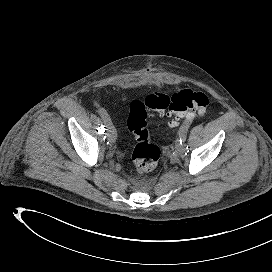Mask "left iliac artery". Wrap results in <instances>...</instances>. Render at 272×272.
Returning a JSON list of instances; mask_svg holds the SVG:
<instances>
[{
	"label": "left iliac artery",
	"instance_id": "left-iliac-artery-1",
	"mask_svg": "<svg viewBox=\"0 0 272 272\" xmlns=\"http://www.w3.org/2000/svg\"><path fill=\"white\" fill-rule=\"evenodd\" d=\"M191 125V121H186L184 124L181 126L179 130V142L180 144H184L186 141V136H187V131Z\"/></svg>",
	"mask_w": 272,
	"mask_h": 272
}]
</instances>
